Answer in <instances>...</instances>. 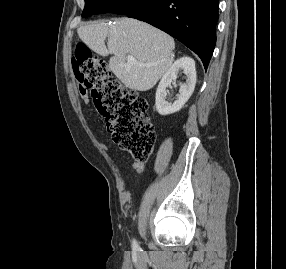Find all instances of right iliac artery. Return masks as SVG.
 Masks as SVG:
<instances>
[{
    "label": "right iliac artery",
    "instance_id": "1",
    "mask_svg": "<svg viewBox=\"0 0 286 269\" xmlns=\"http://www.w3.org/2000/svg\"><path fill=\"white\" fill-rule=\"evenodd\" d=\"M132 247H133L134 250H139V245H138L136 240H133Z\"/></svg>",
    "mask_w": 286,
    "mask_h": 269
}]
</instances>
